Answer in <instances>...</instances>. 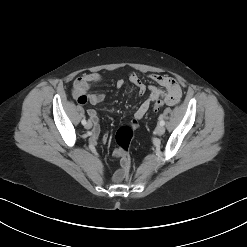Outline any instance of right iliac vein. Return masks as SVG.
<instances>
[{"instance_id": "1", "label": "right iliac vein", "mask_w": 247, "mask_h": 247, "mask_svg": "<svg viewBox=\"0 0 247 247\" xmlns=\"http://www.w3.org/2000/svg\"><path fill=\"white\" fill-rule=\"evenodd\" d=\"M85 128H86V129H91V128H92V122H91V121H88V122L85 124Z\"/></svg>"}]
</instances>
